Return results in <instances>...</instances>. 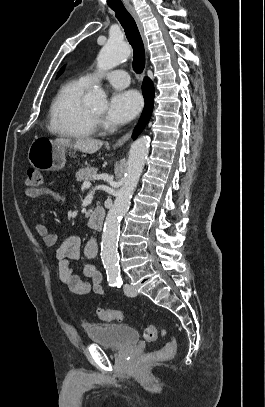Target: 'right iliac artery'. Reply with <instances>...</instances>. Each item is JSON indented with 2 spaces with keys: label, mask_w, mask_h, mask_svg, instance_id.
<instances>
[{
  "label": "right iliac artery",
  "mask_w": 265,
  "mask_h": 407,
  "mask_svg": "<svg viewBox=\"0 0 265 407\" xmlns=\"http://www.w3.org/2000/svg\"><path fill=\"white\" fill-rule=\"evenodd\" d=\"M109 285H110V286H115L114 281H113V280H110V281H109Z\"/></svg>",
  "instance_id": "82829eb1"
}]
</instances>
